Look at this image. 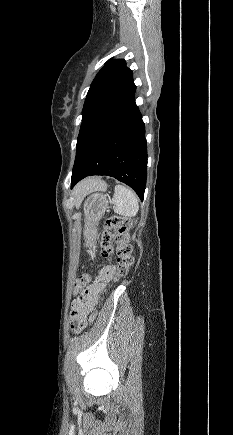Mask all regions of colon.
Masks as SVG:
<instances>
[{
	"label": "colon",
	"instance_id": "obj_1",
	"mask_svg": "<svg viewBox=\"0 0 233 435\" xmlns=\"http://www.w3.org/2000/svg\"><path fill=\"white\" fill-rule=\"evenodd\" d=\"M132 222L128 217L111 216L104 225L101 236V255L109 263L116 265L114 281L127 276L130 267L134 263L132 248L126 242V232ZM79 281L81 286L86 287L91 281L90 273L80 275ZM96 316L95 311L89 315V322H92Z\"/></svg>",
	"mask_w": 233,
	"mask_h": 435
}]
</instances>
